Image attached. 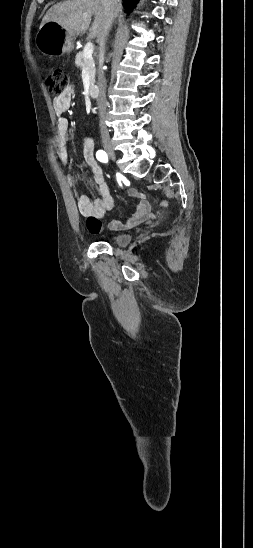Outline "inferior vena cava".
Here are the masks:
<instances>
[{
  "label": "inferior vena cava",
  "instance_id": "602c4592",
  "mask_svg": "<svg viewBox=\"0 0 253 548\" xmlns=\"http://www.w3.org/2000/svg\"><path fill=\"white\" fill-rule=\"evenodd\" d=\"M103 11H104V21L98 37L99 43V58H100V69L98 75V86H99V97L97 99V105L99 109L98 119L99 126L101 127V137L102 139H109V133L106 128V79L104 76V71L102 69L104 62V47L109 34L112 21L118 13L119 1L118 0H103Z\"/></svg>",
  "mask_w": 253,
  "mask_h": 548
}]
</instances>
